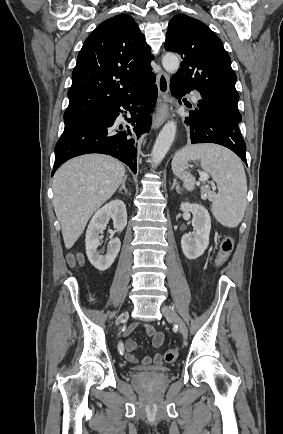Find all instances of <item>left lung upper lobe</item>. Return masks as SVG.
<instances>
[{
    "label": "left lung upper lobe",
    "instance_id": "left-lung-upper-lobe-1",
    "mask_svg": "<svg viewBox=\"0 0 283 434\" xmlns=\"http://www.w3.org/2000/svg\"><path fill=\"white\" fill-rule=\"evenodd\" d=\"M165 49L182 59L171 79L197 90L206 99L238 110L236 74L219 37L203 22L178 14L169 23Z\"/></svg>",
    "mask_w": 283,
    "mask_h": 434
}]
</instances>
